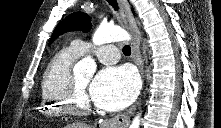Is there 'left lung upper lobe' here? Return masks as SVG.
Here are the masks:
<instances>
[{
    "label": "left lung upper lobe",
    "instance_id": "left-lung-upper-lobe-1",
    "mask_svg": "<svg viewBox=\"0 0 221 128\" xmlns=\"http://www.w3.org/2000/svg\"><path fill=\"white\" fill-rule=\"evenodd\" d=\"M91 27L92 25L87 14L82 12L72 13L67 16L65 20L59 23V25L55 28L52 37L67 31L82 30L83 32H88ZM50 42H52V38Z\"/></svg>",
    "mask_w": 221,
    "mask_h": 128
}]
</instances>
